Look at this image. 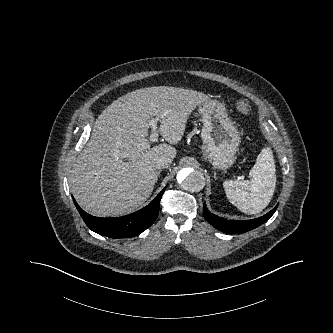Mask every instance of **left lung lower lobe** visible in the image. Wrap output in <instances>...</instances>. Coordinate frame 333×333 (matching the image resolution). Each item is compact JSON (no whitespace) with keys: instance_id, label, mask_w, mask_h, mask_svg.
Returning <instances> with one entry per match:
<instances>
[{"instance_id":"left-lung-lower-lobe-1","label":"left lung lower lobe","mask_w":333,"mask_h":333,"mask_svg":"<svg viewBox=\"0 0 333 333\" xmlns=\"http://www.w3.org/2000/svg\"><path fill=\"white\" fill-rule=\"evenodd\" d=\"M277 206L272 209L270 212L265 214L262 217L252 219V220H245V221H236V220H225L221 217H218L209 212L205 203L203 205V215L205 219L213 225L215 228L222 232L226 233H243L249 230H252L261 224L267 222L270 217L274 214Z\"/></svg>"}]
</instances>
